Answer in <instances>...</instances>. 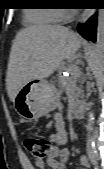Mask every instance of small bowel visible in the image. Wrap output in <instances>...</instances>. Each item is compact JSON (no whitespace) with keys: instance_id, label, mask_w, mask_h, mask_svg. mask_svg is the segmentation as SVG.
I'll list each match as a JSON object with an SVG mask.
<instances>
[{"instance_id":"small-bowel-1","label":"small bowel","mask_w":104,"mask_h":169,"mask_svg":"<svg viewBox=\"0 0 104 169\" xmlns=\"http://www.w3.org/2000/svg\"><path fill=\"white\" fill-rule=\"evenodd\" d=\"M55 142L50 155L46 162H37L36 169H65L66 161L69 158V150L65 147L68 142V135L65 129V124L61 114L55 115ZM80 164L82 166L89 165V159L87 156H81Z\"/></svg>"}]
</instances>
